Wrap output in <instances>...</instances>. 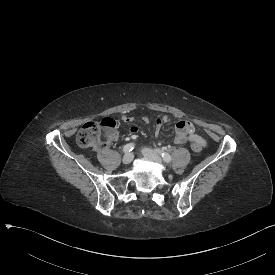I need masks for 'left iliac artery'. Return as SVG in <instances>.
Returning <instances> with one entry per match:
<instances>
[{"mask_svg": "<svg viewBox=\"0 0 275 275\" xmlns=\"http://www.w3.org/2000/svg\"><path fill=\"white\" fill-rule=\"evenodd\" d=\"M156 151H158L160 154H161V156H162V158H163V160L165 161V162H170L171 161V156H170V154H168L167 152H164V151H162V150H160V149H156Z\"/></svg>", "mask_w": 275, "mask_h": 275, "instance_id": "1", "label": "left iliac artery"}]
</instances>
